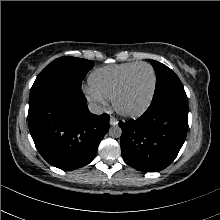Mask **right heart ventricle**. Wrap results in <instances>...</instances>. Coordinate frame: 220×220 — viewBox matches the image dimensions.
Here are the masks:
<instances>
[{"label": "right heart ventricle", "instance_id": "e07e8e85", "mask_svg": "<svg viewBox=\"0 0 220 220\" xmlns=\"http://www.w3.org/2000/svg\"><path fill=\"white\" fill-rule=\"evenodd\" d=\"M136 64L128 62L98 68L90 74L89 85L101 97L111 100L126 73Z\"/></svg>", "mask_w": 220, "mask_h": 220}]
</instances>
